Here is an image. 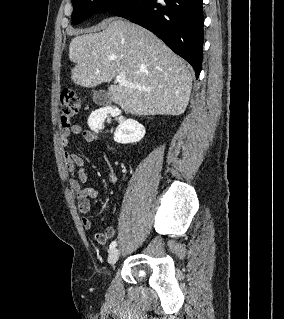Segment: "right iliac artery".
<instances>
[{
    "mask_svg": "<svg viewBox=\"0 0 284 319\" xmlns=\"http://www.w3.org/2000/svg\"><path fill=\"white\" fill-rule=\"evenodd\" d=\"M117 245V242L114 240L111 242L110 246H109V250H113Z\"/></svg>",
    "mask_w": 284,
    "mask_h": 319,
    "instance_id": "right-iliac-artery-1",
    "label": "right iliac artery"
}]
</instances>
